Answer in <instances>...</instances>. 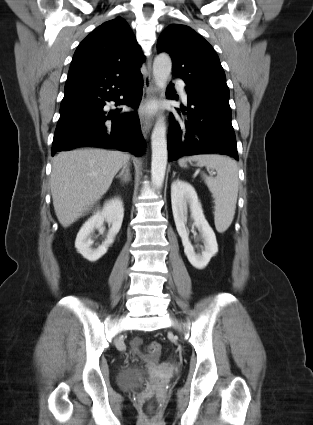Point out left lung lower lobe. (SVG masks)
Instances as JSON below:
<instances>
[{"mask_svg": "<svg viewBox=\"0 0 313 425\" xmlns=\"http://www.w3.org/2000/svg\"><path fill=\"white\" fill-rule=\"evenodd\" d=\"M174 85L167 88V98L173 99ZM188 107L178 109L187 115L184 123L169 116L168 160L198 154H223L238 160L235 133L231 123L229 97L200 92L186 87Z\"/></svg>", "mask_w": 313, "mask_h": 425, "instance_id": "0a47b994", "label": "left lung lower lobe"}]
</instances>
